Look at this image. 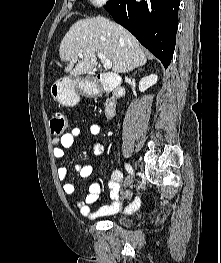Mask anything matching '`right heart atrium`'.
<instances>
[{
	"label": "right heart atrium",
	"mask_w": 221,
	"mask_h": 263,
	"mask_svg": "<svg viewBox=\"0 0 221 263\" xmlns=\"http://www.w3.org/2000/svg\"><path fill=\"white\" fill-rule=\"evenodd\" d=\"M107 1L108 0H89L90 4L95 8L104 6L107 3Z\"/></svg>",
	"instance_id": "d8ad5b80"
}]
</instances>
